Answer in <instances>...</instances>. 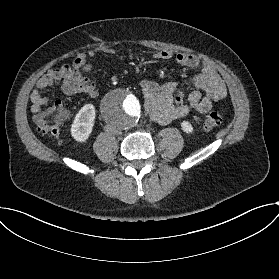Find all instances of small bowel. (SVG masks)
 Returning a JSON list of instances; mask_svg holds the SVG:
<instances>
[{"label":"small bowel","mask_w":279,"mask_h":279,"mask_svg":"<svg viewBox=\"0 0 279 279\" xmlns=\"http://www.w3.org/2000/svg\"><path fill=\"white\" fill-rule=\"evenodd\" d=\"M93 51L79 53L71 65H62L44 74L30 94V110L34 114L41 112L48 104L42 92L51 86H59L66 95H84L97 98L99 89L88 73L92 69ZM155 61L174 60L182 67L199 69L200 73L188 78L183 83L168 82L163 85L143 79L140 88L144 96V108L147 115L160 125L186 116L191 111L207 113L215 101L224 99L227 86L216 70L197 56L170 50H160L153 54ZM191 89L186 100V92Z\"/></svg>","instance_id":"small-bowel-1"}]
</instances>
